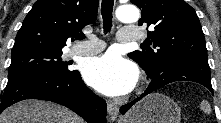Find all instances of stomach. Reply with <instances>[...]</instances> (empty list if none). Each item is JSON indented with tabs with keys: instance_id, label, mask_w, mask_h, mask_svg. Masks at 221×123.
Wrapping results in <instances>:
<instances>
[{
	"instance_id": "obj_1",
	"label": "stomach",
	"mask_w": 221,
	"mask_h": 123,
	"mask_svg": "<svg viewBox=\"0 0 221 123\" xmlns=\"http://www.w3.org/2000/svg\"><path fill=\"white\" fill-rule=\"evenodd\" d=\"M181 110L169 97L153 93L136 103L122 123H180Z\"/></svg>"
}]
</instances>
